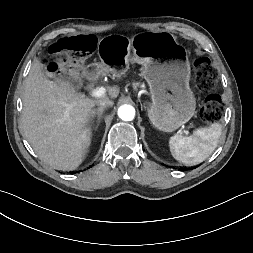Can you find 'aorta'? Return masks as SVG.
Wrapping results in <instances>:
<instances>
[{
    "mask_svg": "<svg viewBox=\"0 0 253 253\" xmlns=\"http://www.w3.org/2000/svg\"><path fill=\"white\" fill-rule=\"evenodd\" d=\"M118 116L123 121H131L135 117V109L131 105H122L118 109Z\"/></svg>",
    "mask_w": 253,
    "mask_h": 253,
    "instance_id": "obj_1",
    "label": "aorta"
}]
</instances>
